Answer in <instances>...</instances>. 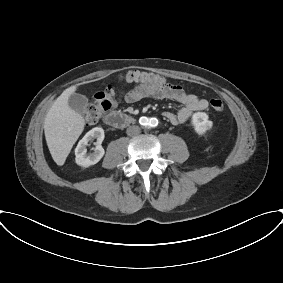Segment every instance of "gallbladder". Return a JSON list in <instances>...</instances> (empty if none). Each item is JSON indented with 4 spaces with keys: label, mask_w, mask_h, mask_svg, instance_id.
Listing matches in <instances>:
<instances>
[{
    "label": "gallbladder",
    "mask_w": 283,
    "mask_h": 283,
    "mask_svg": "<svg viewBox=\"0 0 283 283\" xmlns=\"http://www.w3.org/2000/svg\"><path fill=\"white\" fill-rule=\"evenodd\" d=\"M87 104L88 100L84 95L73 93L69 96V107L79 114H83L85 112Z\"/></svg>",
    "instance_id": "1"
}]
</instances>
